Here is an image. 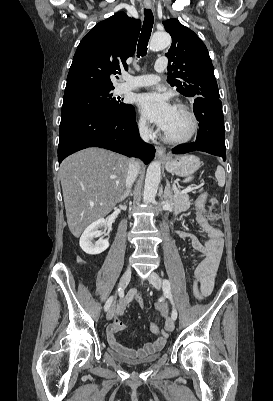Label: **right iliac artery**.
<instances>
[{"label": "right iliac artery", "mask_w": 273, "mask_h": 401, "mask_svg": "<svg viewBox=\"0 0 273 401\" xmlns=\"http://www.w3.org/2000/svg\"><path fill=\"white\" fill-rule=\"evenodd\" d=\"M118 290L120 291V289H118ZM112 301H113V296H111V297L107 300V302H106V304H105V306H104V310H105V311H108V309H109V307H110Z\"/></svg>", "instance_id": "right-iliac-artery-1"}]
</instances>
